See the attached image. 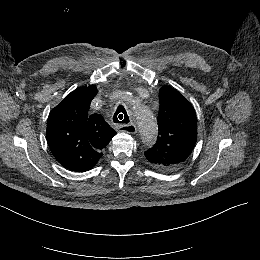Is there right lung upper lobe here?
I'll list each match as a JSON object with an SVG mask.
<instances>
[{
    "mask_svg": "<svg viewBox=\"0 0 260 260\" xmlns=\"http://www.w3.org/2000/svg\"><path fill=\"white\" fill-rule=\"evenodd\" d=\"M97 92L94 85L77 88L49 114L48 145L57 161L69 170L92 169L116 134L101 115L88 113Z\"/></svg>",
    "mask_w": 260,
    "mask_h": 260,
    "instance_id": "right-lung-upper-lobe-1",
    "label": "right lung upper lobe"
}]
</instances>
